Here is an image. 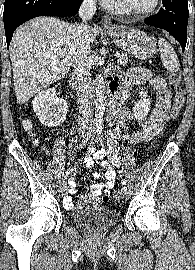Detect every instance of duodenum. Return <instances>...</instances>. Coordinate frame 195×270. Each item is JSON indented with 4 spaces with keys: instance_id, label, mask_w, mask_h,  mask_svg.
Instances as JSON below:
<instances>
[{
    "instance_id": "obj_1",
    "label": "duodenum",
    "mask_w": 195,
    "mask_h": 270,
    "mask_svg": "<svg viewBox=\"0 0 195 270\" xmlns=\"http://www.w3.org/2000/svg\"><path fill=\"white\" fill-rule=\"evenodd\" d=\"M71 81H72L73 88L76 91H81L82 90L83 83L80 81L77 74L72 75ZM107 86H108V90H109V93H110V96H111V100L113 102L116 99V96H117V93H116L117 84L112 78H109Z\"/></svg>"
}]
</instances>
